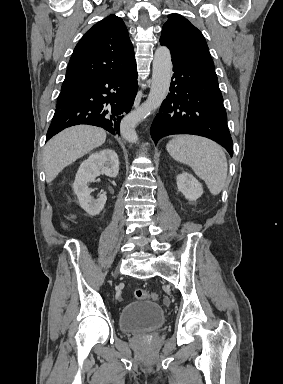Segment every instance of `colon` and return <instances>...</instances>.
I'll list each match as a JSON object with an SVG mask.
<instances>
[{"label":"colon","instance_id":"1","mask_svg":"<svg viewBox=\"0 0 283 384\" xmlns=\"http://www.w3.org/2000/svg\"><path fill=\"white\" fill-rule=\"evenodd\" d=\"M135 297L138 300H144V299H156V294L150 293L145 289H137L134 292Z\"/></svg>","mask_w":283,"mask_h":384}]
</instances>
